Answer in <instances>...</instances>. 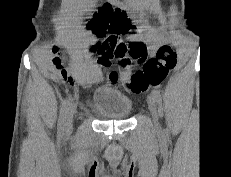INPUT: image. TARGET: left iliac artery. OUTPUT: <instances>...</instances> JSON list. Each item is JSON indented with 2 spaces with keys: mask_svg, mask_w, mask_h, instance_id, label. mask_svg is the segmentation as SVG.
<instances>
[{
  "mask_svg": "<svg viewBox=\"0 0 231 177\" xmlns=\"http://www.w3.org/2000/svg\"><path fill=\"white\" fill-rule=\"evenodd\" d=\"M152 95L155 98L156 102L159 104V106L162 105V97L158 90H152Z\"/></svg>",
  "mask_w": 231,
  "mask_h": 177,
  "instance_id": "44dca946",
  "label": "left iliac artery"
}]
</instances>
